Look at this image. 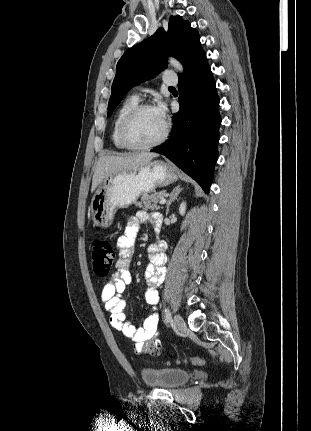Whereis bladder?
<instances>
[{"instance_id":"bladder-1","label":"bladder","mask_w":311,"mask_h":431,"mask_svg":"<svg viewBox=\"0 0 311 431\" xmlns=\"http://www.w3.org/2000/svg\"><path fill=\"white\" fill-rule=\"evenodd\" d=\"M141 378L149 387L171 390L187 383L190 373L178 367H146L141 370Z\"/></svg>"}]
</instances>
